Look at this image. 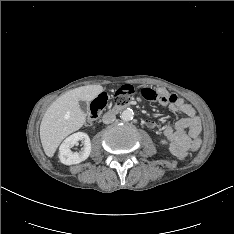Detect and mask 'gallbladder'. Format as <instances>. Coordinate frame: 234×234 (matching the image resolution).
<instances>
[{
  "label": "gallbladder",
  "mask_w": 234,
  "mask_h": 234,
  "mask_svg": "<svg viewBox=\"0 0 234 234\" xmlns=\"http://www.w3.org/2000/svg\"><path fill=\"white\" fill-rule=\"evenodd\" d=\"M79 106L84 112L88 111V104L85 101H79Z\"/></svg>",
  "instance_id": "1"
}]
</instances>
